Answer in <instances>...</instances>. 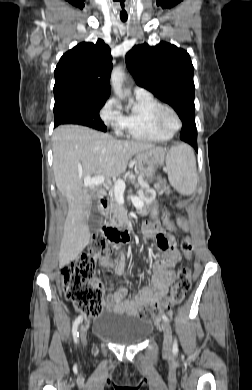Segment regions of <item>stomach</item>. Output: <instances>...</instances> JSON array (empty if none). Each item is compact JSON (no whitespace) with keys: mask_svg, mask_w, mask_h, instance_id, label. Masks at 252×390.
Wrapping results in <instances>:
<instances>
[{"mask_svg":"<svg viewBox=\"0 0 252 390\" xmlns=\"http://www.w3.org/2000/svg\"><path fill=\"white\" fill-rule=\"evenodd\" d=\"M165 152L156 149H150L140 152L136 156V163L140 173L152 180L159 166L164 162ZM150 217L156 219L158 217V206L153 203L149 206Z\"/></svg>","mask_w":252,"mask_h":390,"instance_id":"obj_1","label":"stomach"}]
</instances>
